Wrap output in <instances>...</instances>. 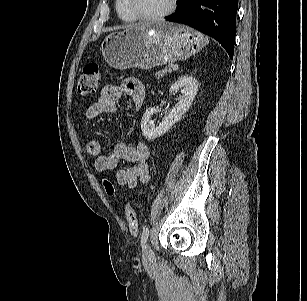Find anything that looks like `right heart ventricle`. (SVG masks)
Instances as JSON below:
<instances>
[{
    "label": "right heart ventricle",
    "mask_w": 307,
    "mask_h": 301,
    "mask_svg": "<svg viewBox=\"0 0 307 301\" xmlns=\"http://www.w3.org/2000/svg\"><path fill=\"white\" fill-rule=\"evenodd\" d=\"M115 8L119 17L127 23H132L137 20V18L131 12L127 0H115Z\"/></svg>",
    "instance_id": "1"
}]
</instances>
